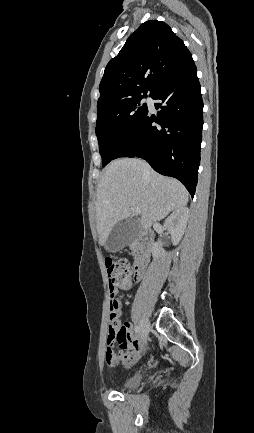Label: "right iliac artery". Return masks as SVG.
I'll return each mask as SVG.
<instances>
[{
    "label": "right iliac artery",
    "mask_w": 254,
    "mask_h": 433,
    "mask_svg": "<svg viewBox=\"0 0 254 433\" xmlns=\"http://www.w3.org/2000/svg\"><path fill=\"white\" fill-rule=\"evenodd\" d=\"M135 331H136V333H139V332H140V327H139V326H136V327H135Z\"/></svg>",
    "instance_id": "obj_1"
}]
</instances>
